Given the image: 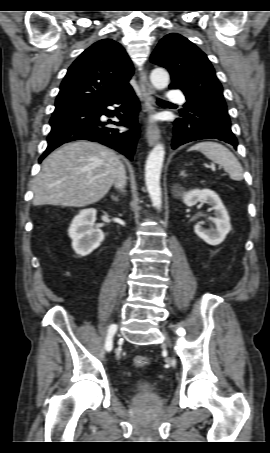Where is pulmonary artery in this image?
Listing matches in <instances>:
<instances>
[{
  "instance_id": "pulmonary-artery-1",
  "label": "pulmonary artery",
  "mask_w": 270,
  "mask_h": 453,
  "mask_svg": "<svg viewBox=\"0 0 270 453\" xmlns=\"http://www.w3.org/2000/svg\"><path fill=\"white\" fill-rule=\"evenodd\" d=\"M168 99L173 101L184 102V96L182 92L177 90H170L168 93Z\"/></svg>"
}]
</instances>
